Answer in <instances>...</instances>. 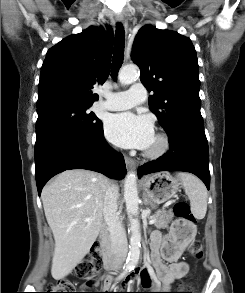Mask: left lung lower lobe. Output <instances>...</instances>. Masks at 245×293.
<instances>
[{"instance_id":"1","label":"left lung lower lobe","mask_w":245,"mask_h":293,"mask_svg":"<svg viewBox=\"0 0 245 293\" xmlns=\"http://www.w3.org/2000/svg\"><path fill=\"white\" fill-rule=\"evenodd\" d=\"M170 150L139 167L138 177L159 171H185L198 176L209 189V153L204 128L180 125L167 132Z\"/></svg>"}]
</instances>
